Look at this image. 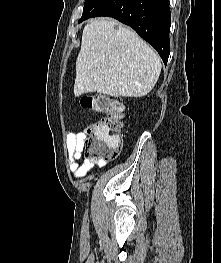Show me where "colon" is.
Wrapping results in <instances>:
<instances>
[{
    "label": "colon",
    "mask_w": 221,
    "mask_h": 263,
    "mask_svg": "<svg viewBox=\"0 0 221 263\" xmlns=\"http://www.w3.org/2000/svg\"><path fill=\"white\" fill-rule=\"evenodd\" d=\"M80 104L102 114L86 129L83 147L86 158L91 161L115 158L121 146L120 131L125 117L122 100L106 94L84 95Z\"/></svg>",
    "instance_id": "colon-1"
}]
</instances>
